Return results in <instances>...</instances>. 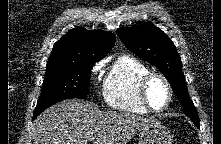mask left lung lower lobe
<instances>
[{
    "instance_id": "1",
    "label": "left lung lower lobe",
    "mask_w": 221,
    "mask_h": 144,
    "mask_svg": "<svg viewBox=\"0 0 221 144\" xmlns=\"http://www.w3.org/2000/svg\"><path fill=\"white\" fill-rule=\"evenodd\" d=\"M197 127H199L200 126V123H197V124H195Z\"/></svg>"
}]
</instances>
